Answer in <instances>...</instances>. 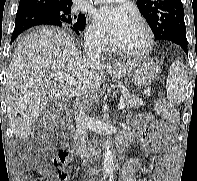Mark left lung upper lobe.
Masks as SVG:
<instances>
[{"label": "left lung upper lobe", "instance_id": "obj_1", "mask_svg": "<svg viewBox=\"0 0 197 181\" xmlns=\"http://www.w3.org/2000/svg\"><path fill=\"white\" fill-rule=\"evenodd\" d=\"M136 4L149 23L155 40H169L172 34L186 33L181 0H137Z\"/></svg>", "mask_w": 197, "mask_h": 181}]
</instances>
